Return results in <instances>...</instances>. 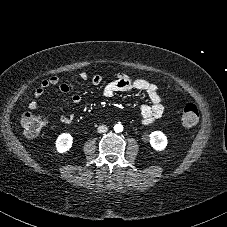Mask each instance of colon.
<instances>
[{"mask_svg": "<svg viewBox=\"0 0 227 227\" xmlns=\"http://www.w3.org/2000/svg\"><path fill=\"white\" fill-rule=\"evenodd\" d=\"M199 113L196 105L190 103L184 106L180 122L184 127H193L198 122ZM24 133L28 136H36L45 125V118L37 113H25L20 120Z\"/></svg>", "mask_w": 227, "mask_h": 227, "instance_id": "obj_1", "label": "colon"}]
</instances>
